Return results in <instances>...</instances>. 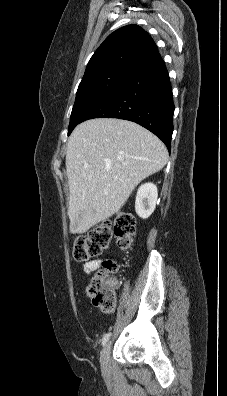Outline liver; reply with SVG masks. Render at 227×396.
Here are the masks:
<instances>
[{"label":"liver","instance_id":"1","mask_svg":"<svg viewBox=\"0 0 227 396\" xmlns=\"http://www.w3.org/2000/svg\"><path fill=\"white\" fill-rule=\"evenodd\" d=\"M167 160L162 141L134 122L97 118L76 126L66 152L70 232L85 233L117 213Z\"/></svg>","mask_w":227,"mask_h":396}]
</instances>
